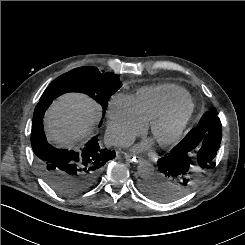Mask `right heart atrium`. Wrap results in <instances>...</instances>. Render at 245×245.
<instances>
[{
  "mask_svg": "<svg viewBox=\"0 0 245 245\" xmlns=\"http://www.w3.org/2000/svg\"><path fill=\"white\" fill-rule=\"evenodd\" d=\"M147 123L140 117L133 97L115 94L107 106V134L119 146L128 145L143 133Z\"/></svg>",
  "mask_w": 245,
  "mask_h": 245,
  "instance_id": "right-heart-atrium-1",
  "label": "right heart atrium"
}]
</instances>
